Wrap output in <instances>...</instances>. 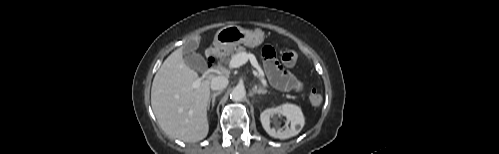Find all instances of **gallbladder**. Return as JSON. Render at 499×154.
<instances>
[{
  "instance_id": "1",
  "label": "gallbladder",
  "mask_w": 499,
  "mask_h": 154,
  "mask_svg": "<svg viewBox=\"0 0 499 154\" xmlns=\"http://www.w3.org/2000/svg\"><path fill=\"white\" fill-rule=\"evenodd\" d=\"M199 42L197 39H190L184 44V60L186 65L191 69L200 70L205 67L204 58L194 50L198 48Z\"/></svg>"
}]
</instances>
